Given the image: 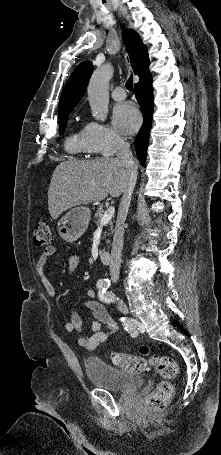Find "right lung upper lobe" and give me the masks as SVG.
Segmentation results:
<instances>
[{
  "label": "right lung upper lobe",
  "mask_w": 221,
  "mask_h": 455,
  "mask_svg": "<svg viewBox=\"0 0 221 455\" xmlns=\"http://www.w3.org/2000/svg\"><path fill=\"white\" fill-rule=\"evenodd\" d=\"M133 71L139 77L149 65L147 47L141 41L140 36L133 29H127L123 33ZM93 71V65L89 61L80 63L73 71L64 87L59 100L58 111L72 110L86 92L87 84Z\"/></svg>",
  "instance_id": "obj_1"
}]
</instances>
